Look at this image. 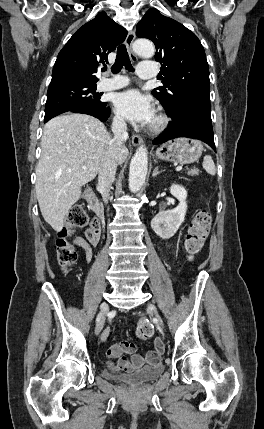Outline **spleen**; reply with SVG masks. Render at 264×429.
<instances>
[{
    "label": "spleen",
    "instance_id": "obj_1",
    "mask_svg": "<svg viewBox=\"0 0 264 429\" xmlns=\"http://www.w3.org/2000/svg\"><path fill=\"white\" fill-rule=\"evenodd\" d=\"M203 168L206 170V172L208 174H211V175H215L216 174L215 164H214L211 156L206 155L204 157Z\"/></svg>",
    "mask_w": 264,
    "mask_h": 429
}]
</instances>
